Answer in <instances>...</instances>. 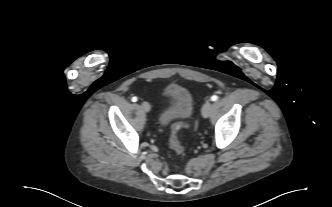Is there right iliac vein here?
I'll list each match as a JSON object with an SVG mask.
<instances>
[{
	"label": "right iliac vein",
	"mask_w": 332,
	"mask_h": 207,
	"mask_svg": "<svg viewBox=\"0 0 332 207\" xmlns=\"http://www.w3.org/2000/svg\"><path fill=\"white\" fill-rule=\"evenodd\" d=\"M142 109H143L145 112H149L150 109H151V107H150V105H149L148 102H143V103H142Z\"/></svg>",
	"instance_id": "obj_1"
}]
</instances>
